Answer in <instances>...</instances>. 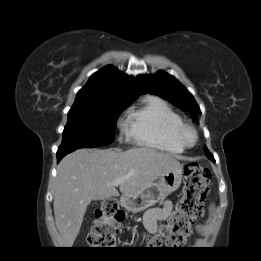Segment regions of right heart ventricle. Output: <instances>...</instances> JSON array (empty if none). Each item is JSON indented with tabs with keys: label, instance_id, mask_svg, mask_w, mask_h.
I'll use <instances>...</instances> for the list:
<instances>
[{
	"label": "right heart ventricle",
	"instance_id": "right-heart-ventricle-1",
	"mask_svg": "<svg viewBox=\"0 0 261 261\" xmlns=\"http://www.w3.org/2000/svg\"><path fill=\"white\" fill-rule=\"evenodd\" d=\"M127 124L129 137L140 146L172 154L185 149L178 136L182 119L159 97H146L139 106L130 108Z\"/></svg>",
	"mask_w": 261,
	"mask_h": 261
}]
</instances>
